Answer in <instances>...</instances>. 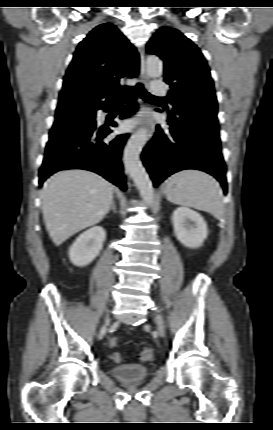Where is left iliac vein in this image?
Instances as JSON below:
<instances>
[{
  "label": "left iliac vein",
  "mask_w": 273,
  "mask_h": 430,
  "mask_svg": "<svg viewBox=\"0 0 273 430\" xmlns=\"http://www.w3.org/2000/svg\"><path fill=\"white\" fill-rule=\"evenodd\" d=\"M155 321L160 329H164L163 321L159 316H156Z\"/></svg>",
  "instance_id": "4c4485c4"
}]
</instances>
